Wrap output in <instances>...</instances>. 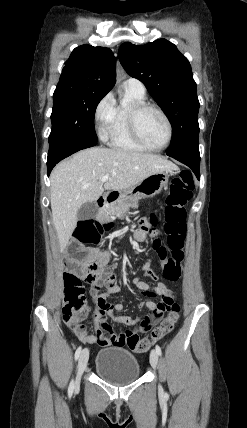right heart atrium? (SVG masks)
Returning <instances> with one entry per match:
<instances>
[{"label": "right heart atrium", "instance_id": "right-heart-atrium-1", "mask_svg": "<svg viewBox=\"0 0 247 428\" xmlns=\"http://www.w3.org/2000/svg\"><path fill=\"white\" fill-rule=\"evenodd\" d=\"M116 106L111 94L105 95L96 105L94 121L101 139L107 140L111 134Z\"/></svg>", "mask_w": 247, "mask_h": 428}]
</instances>
